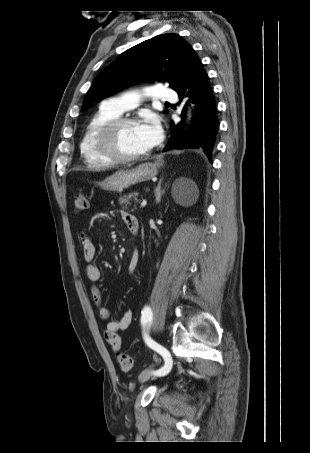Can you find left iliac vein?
<instances>
[{"instance_id":"1","label":"left iliac vein","mask_w":310,"mask_h":453,"mask_svg":"<svg viewBox=\"0 0 310 453\" xmlns=\"http://www.w3.org/2000/svg\"><path fill=\"white\" fill-rule=\"evenodd\" d=\"M152 376V371H151V367L149 368H146L144 369L138 376V380L140 383H144L146 382L147 380L150 379V377Z\"/></svg>"}]
</instances>
